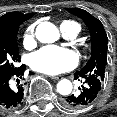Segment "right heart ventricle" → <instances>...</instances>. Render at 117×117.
Wrapping results in <instances>:
<instances>
[{
    "mask_svg": "<svg viewBox=\"0 0 117 117\" xmlns=\"http://www.w3.org/2000/svg\"><path fill=\"white\" fill-rule=\"evenodd\" d=\"M65 30V31H76L77 33H79L80 31V25L72 20H65L61 23V30Z\"/></svg>",
    "mask_w": 117,
    "mask_h": 117,
    "instance_id": "e07e8e85",
    "label": "right heart ventricle"
}]
</instances>
